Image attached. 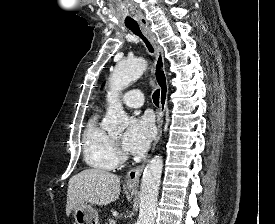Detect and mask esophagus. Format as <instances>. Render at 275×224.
Segmentation results:
<instances>
[{
  "label": "esophagus",
  "mask_w": 275,
  "mask_h": 224,
  "mask_svg": "<svg viewBox=\"0 0 275 224\" xmlns=\"http://www.w3.org/2000/svg\"><path fill=\"white\" fill-rule=\"evenodd\" d=\"M140 28L144 36L149 40L155 50V63H154V77L160 89V108L157 114V136L153 142L151 152L154 151L162 133L163 116L167 105L168 98V81L165 72L164 52L162 46L159 44L156 35L152 32L149 23L144 20L140 22ZM150 155L139 166L131 169L125 176V186L128 188H137L139 178L148 161Z\"/></svg>",
  "instance_id": "1"
}]
</instances>
